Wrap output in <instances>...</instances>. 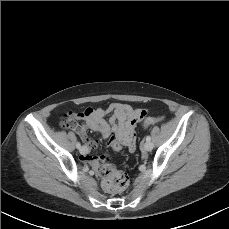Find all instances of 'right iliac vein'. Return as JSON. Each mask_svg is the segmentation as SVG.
Returning a JSON list of instances; mask_svg holds the SVG:
<instances>
[{"label":"right iliac vein","instance_id":"obj_1","mask_svg":"<svg viewBox=\"0 0 229 229\" xmlns=\"http://www.w3.org/2000/svg\"><path fill=\"white\" fill-rule=\"evenodd\" d=\"M79 151H80V153H84L85 148H84V147H82V148H80V149H79Z\"/></svg>","mask_w":229,"mask_h":229}]
</instances>
